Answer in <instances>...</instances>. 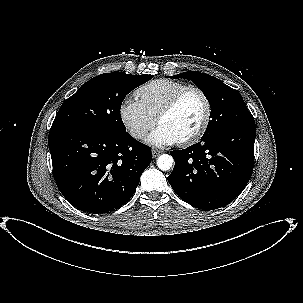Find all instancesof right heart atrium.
Wrapping results in <instances>:
<instances>
[{"mask_svg": "<svg viewBox=\"0 0 303 303\" xmlns=\"http://www.w3.org/2000/svg\"><path fill=\"white\" fill-rule=\"evenodd\" d=\"M119 114L122 123L136 140L143 139L156 123V118L146 110L140 100L130 96L121 102Z\"/></svg>", "mask_w": 303, "mask_h": 303, "instance_id": "obj_1", "label": "right heart atrium"}]
</instances>
